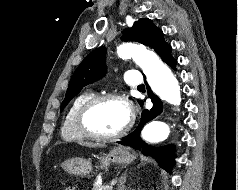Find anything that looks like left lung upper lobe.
<instances>
[{
	"instance_id": "1",
	"label": "left lung upper lobe",
	"mask_w": 238,
	"mask_h": 190,
	"mask_svg": "<svg viewBox=\"0 0 238 190\" xmlns=\"http://www.w3.org/2000/svg\"><path fill=\"white\" fill-rule=\"evenodd\" d=\"M123 41H136L155 50L164 59L171 53V46L164 41L163 32L157 28L152 20L139 19L132 28L123 31ZM106 49L100 47L86 56L74 72L69 83L65 99L61 104L62 111L69 101L76 96L81 89L106 74L105 65Z\"/></svg>"
}]
</instances>
